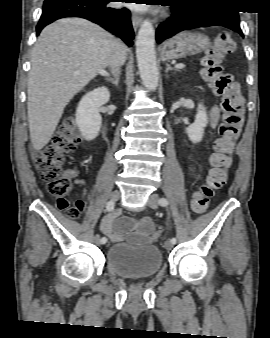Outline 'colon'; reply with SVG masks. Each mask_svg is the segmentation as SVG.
Segmentation results:
<instances>
[{"mask_svg":"<svg viewBox=\"0 0 270 338\" xmlns=\"http://www.w3.org/2000/svg\"><path fill=\"white\" fill-rule=\"evenodd\" d=\"M235 50V42L228 34L217 36L201 58V75L207 80L215 93L222 97V123L220 136L214 141L211 155V169L207 179L192 195L191 208L197 214H203L209 200L221 189L231 167V150L239 136L243 124V104L239 85L232 76L223 72L221 62ZM80 141V132L74 119L64 123L54 134L51 142L33 154V163L45 182L48 192L56 198L57 207L70 218H79L84 210L81 201L68 203L64 197L72 190V172L64 168L65 157L72 153ZM138 227L136 224H127ZM159 234V232H157Z\"/></svg>","mask_w":270,"mask_h":338,"instance_id":"5ec220e1","label":"colon"}]
</instances>
